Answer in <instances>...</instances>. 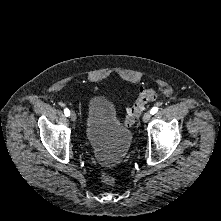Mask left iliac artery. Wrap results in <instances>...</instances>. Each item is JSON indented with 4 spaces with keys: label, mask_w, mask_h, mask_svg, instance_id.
Listing matches in <instances>:
<instances>
[{
    "label": "left iliac artery",
    "mask_w": 221,
    "mask_h": 221,
    "mask_svg": "<svg viewBox=\"0 0 221 221\" xmlns=\"http://www.w3.org/2000/svg\"><path fill=\"white\" fill-rule=\"evenodd\" d=\"M158 111V107H153L152 109H151V114H155L156 112Z\"/></svg>",
    "instance_id": "44dca946"
}]
</instances>
